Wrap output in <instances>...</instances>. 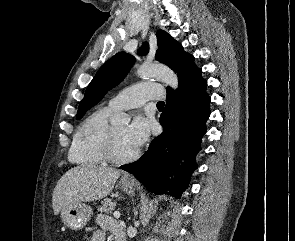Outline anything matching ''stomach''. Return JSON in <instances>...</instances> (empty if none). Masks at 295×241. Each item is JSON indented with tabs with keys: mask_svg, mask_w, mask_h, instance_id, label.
Masks as SVG:
<instances>
[{
	"mask_svg": "<svg viewBox=\"0 0 295 241\" xmlns=\"http://www.w3.org/2000/svg\"><path fill=\"white\" fill-rule=\"evenodd\" d=\"M120 188L127 194H134L135 183L133 181L119 182ZM92 215V208L82 202L65 206L61 210L62 222L72 230L83 229Z\"/></svg>",
	"mask_w": 295,
	"mask_h": 241,
	"instance_id": "obj_1",
	"label": "stomach"
}]
</instances>
